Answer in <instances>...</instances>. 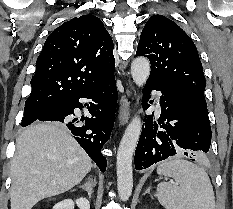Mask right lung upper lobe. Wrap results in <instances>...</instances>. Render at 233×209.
<instances>
[{"label":"right lung upper lobe","mask_w":233,"mask_h":209,"mask_svg":"<svg viewBox=\"0 0 233 209\" xmlns=\"http://www.w3.org/2000/svg\"><path fill=\"white\" fill-rule=\"evenodd\" d=\"M114 45L92 14L73 18L46 39L25 103L61 102L114 76Z\"/></svg>","instance_id":"right-lung-upper-lobe-1"}]
</instances>
